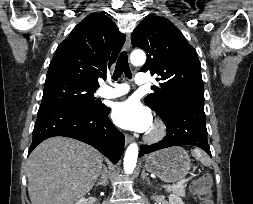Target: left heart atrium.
<instances>
[{
    "mask_svg": "<svg viewBox=\"0 0 253 204\" xmlns=\"http://www.w3.org/2000/svg\"><path fill=\"white\" fill-rule=\"evenodd\" d=\"M111 115L119 127L127 130L144 132L152 125L151 112L135 98L116 103Z\"/></svg>",
    "mask_w": 253,
    "mask_h": 204,
    "instance_id": "left-heart-atrium-1",
    "label": "left heart atrium"
}]
</instances>
